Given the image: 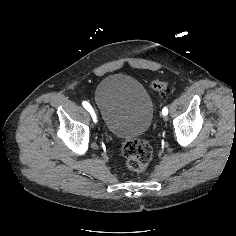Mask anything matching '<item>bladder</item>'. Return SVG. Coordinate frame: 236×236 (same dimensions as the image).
I'll return each instance as SVG.
<instances>
[{
    "instance_id": "bladder-1",
    "label": "bladder",
    "mask_w": 236,
    "mask_h": 236,
    "mask_svg": "<svg viewBox=\"0 0 236 236\" xmlns=\"http://www.w3.org/2000/svg\"><path fill=\"white\" fill-rule=\"evenodd\" d=\"M94 101L105 129L116 138L135 139L152 121L151 97L131 76L113 74L104 78L95 90Z\"/></svg>"
}]
</instances>
